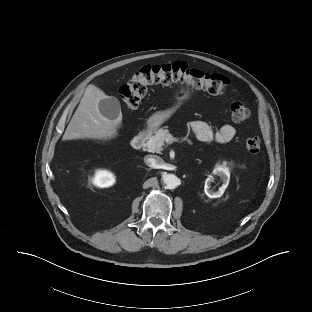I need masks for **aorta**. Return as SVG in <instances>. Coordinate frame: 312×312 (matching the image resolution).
<instances>
[{
	"instance_id": "1",
	"label": "aorta",
	"mask_w": 312,
	"mask_h": 312,
	"mask_svg": "<svg viewBox=\"0 0 312 312\" xmlns=\"http://www.w3.org/2000/svg\"><path fill=\"white\" fill-rule=\"evenodd\" d=\"M163 182L168 189H175L179 185V179L174 174H165L163 176Z\"/></svg>"
}]
</instances>
